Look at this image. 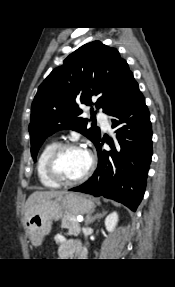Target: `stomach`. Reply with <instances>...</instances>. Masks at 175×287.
Wrapping results in <instances>:
<instances>
[{"label":"stomach","instance_id":"obj_1","mask_svg":"<svg viewBox=\"0 0 175 287\" xmlns=\"http://www.w3.org/2000/svg\"><path fill=\"white\" fill-rule=\"evenodd\" d=\"M94 202L85 195L67 192L63 196L48 199L35 205L25 216V228L33 246L42 244L51 231L53 221L63 217L65 212L82 215L94 209Z\"/></svg>","mask_w":175,"mask_h":287}]
</instances>
